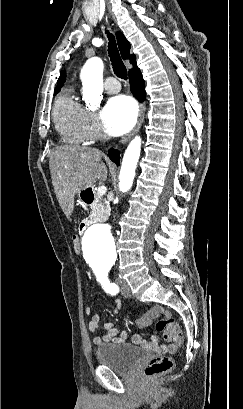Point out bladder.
Listing matches in <instances>:
<instances>
[{
    "label": "bladder",
    "mask_w": 243,
    "mask_h": 409,
    "mask_svg": "<svg viewBox=\"0 0 243 409\" xmlns=\"http://www.w3.org/2000/svg\"><path fill=\"white\" fill-rule=\"evenodd\" d=\"M149 352L127 343L103 344L96 349L98 362L117 373H129Z\"/></svg>",
    "instance_id": "obj_1"
}]
</instances>
